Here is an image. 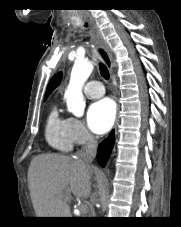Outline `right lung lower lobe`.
<instances>
[{"mask_svg": "<svg viewBox=\"0 0 181 227\" xmlns=\"http://www.w3.org/2000/svg\"><path fill=\"white\" fill-rule=\"evenodd\" d=\"M114 145V131H112L109 136L99 144L97 152V160L99 164L104 167L106 161L111 153V149Z\"/></svg>", "mask_w": 181, "mask_h": 227, "instance_id": "obj_1", "label": "right lung lower lobe"}]
</instances>
